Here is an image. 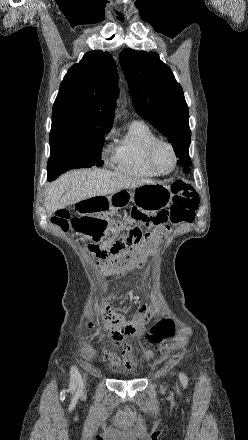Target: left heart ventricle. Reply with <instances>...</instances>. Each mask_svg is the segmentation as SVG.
Returning <instances> with one entry per match:
<instances>
[{
	"label": "left heart ventricle",
	"mask_w": 248,
	"mask_h": 440,
	"mask_svg": "<svg viewBox=\"0 0 248 440\" xmlns=\"http://www.w3.org/2000/svg\"><path fill=\"white\" fill-rule=\"evenodd\" d=\"M155 163L160 170H169L174 163L173 155L169 148L160 146L155 153Z\"/></svg>",
	"instance_id": "left-heart-ventricle-1"
}]
</instances>
